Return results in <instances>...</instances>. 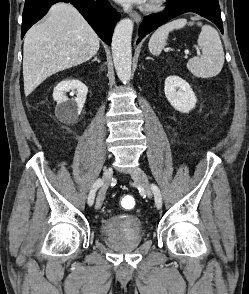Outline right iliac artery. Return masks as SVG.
<instances>
[{
  "mask_svg": "<svg viewBox=\"0 0 249 294\" xmlns=\"http://www.w3.org/2000/svg\"><path fill=\"white\" fill-rule=\"evenodd\" d=\"M103 182L101 179H98L95 181L94 185H93V188L92 190L90 191L89 193V196H88V204L89 205H92L93 202H94V198H95V192L97 191V189L102 186Z\"/></svg>",
  "mask_w": 249,
  "mask_h": 294,
  "instance_id": "1",
  "label": "right iliac artery"
}]
</instances>
